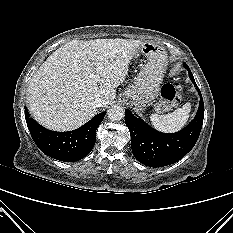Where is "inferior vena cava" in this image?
Masks as SVG:
<instances>
[{"label":"inferior vena cava","instance_id":"1","mask_svg":"<svg viewBox=\"0 0 233 233\" xmlns=\"http://www.w3.org/2000/svg\"><path fill=\"white\" fill-rule=\"evenodd\" d=\"M104 104V99L101 97H97L94 101H93V106L94 107H102Z\"/></svg>","mask_w":233,"mask_h":233}]
</instances>
